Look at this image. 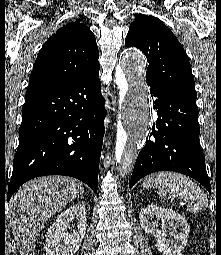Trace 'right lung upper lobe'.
Listing matches in <instances>:
<instances>
[{
    "label": "right lung upper lobe",
    "instance_id": "1",
    "mask_svg": "<svg viewBox=\"0 0 221 255\" xmlns=\"http://www.w3.org/2000/svg\"><path fill=\"white\" fill-rule=\"evenodd\" d=\"M90 29L76 20L57 30L44 44L29 78L28 92L78 79L100 67Z\"/></svg>",
    "mask_w": 221,
    "mask_h": 255
}]
</instances>
